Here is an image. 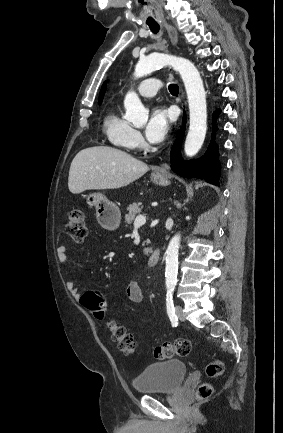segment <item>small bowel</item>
Segmentation results:
<instances>
[{"label":"small bowel","mask_w":283,"mask_h":433,"mask_svg":"<svg viewBox=\"0 0 283 433\" xmlns=\"http://www.w3.org/2000/svg\"><path fill=\"white\" fill-rule=\"evenodd\" d=\"M57 258L60 264H66L68 262L67 247L65 245H60L57 248ZM66 286L75 300H81V293L73 280H68ZM126 294L129 300L135 304H140L143 301L141 287L136 281H131L127 285Z\"/></svg>","instance_id":"1"}]
</instances>
